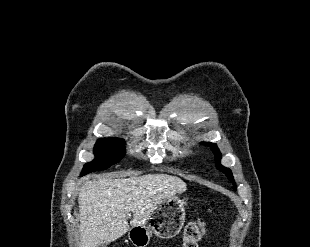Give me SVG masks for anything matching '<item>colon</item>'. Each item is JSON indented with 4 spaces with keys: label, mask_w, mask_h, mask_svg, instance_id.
Here are the masks:
<instances>
[{
    "label": "colon",
    "mask_w": 310,
    "mask_h": 247,
    "mask_svg": "<svg viewBox=\"0 0 310 247\" xmlns=\"http://www.w3.org/2000/svg\"><path fill=\"white\" fill-rule=\"evenodd\" d=\"M205 234L206 230L201 220L188 223L184 229L182 247H198V242Z\"/></svg>",
    "instance_id": "1"
}]
</instances>
